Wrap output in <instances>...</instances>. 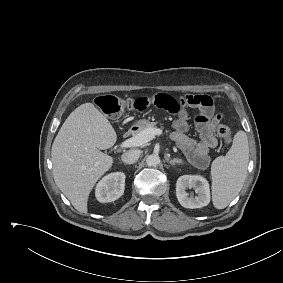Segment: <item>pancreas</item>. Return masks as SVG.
Wrapping results in <instances>:
<instances>
[{"mask_svg": "<svg viewBox=\"0 0 283 283\" xmlns=\"http://www.w3.org/2000/svg\"><path fill=\"white\" fill-rule=\"evenodd\" d=\"M156 122H148L144 127H141L138 131H137V133H136V135L137 134H139V133H141L142 131H144L145 129H147V128H156Z\"/></svg>", "mask_w": 283, "mask_h": 283, "instance_id": "cf45deb5", "label": "pancreas"}]
</instances>
